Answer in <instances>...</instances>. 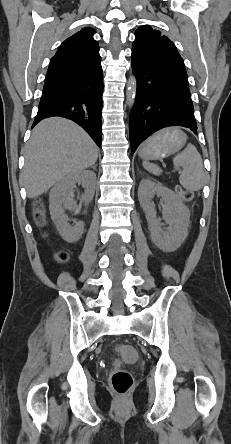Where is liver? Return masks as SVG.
Returning a JSON list of instances; mask_svg holds the SVG:
<instances>
[{
	"instance_id": "1",
	"label": "liver",
	"mask_w": 231,
	"mask_h": 444,
	"mask_svg": "<svg viewBox=\"0 0 231 444\" xmlns=\"http://www.w3.org/2000/svg\"><path fill=\"white\" fill-rule=\"evenodd\" d=\"M97 158V145L80 126L60 117L42 120L25 147L21 181L27 197H38L66 176L92 167Z\"/></svg>"
}]
</instances>
